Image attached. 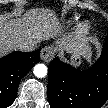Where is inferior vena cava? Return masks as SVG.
Returning a JSON list of instances; mask_svg holds the SVG:
<instances>
[{"label": "inferior vena cava", "mask_w": 108, "mask_h": 108, "mask_svg": "<svg viewBox=\"0 0 108 108\" xmlns=\"http://www.w3.org/2000/svg\"><path fill=\"white\" fill-rule=\"evenodd\" d=\"M37 47V43H34V44H24V45H20L19 46V50L23 51V52H30V51H33L35 50Z\"/></svg>", "instance_id": "602c4592"}]
</instances>
